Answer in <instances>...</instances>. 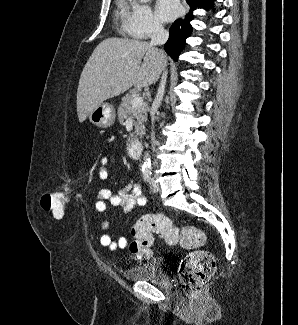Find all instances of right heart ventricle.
Returning a JSON list of instances; mask_svg holds the SVG:
<instances>
[{"instance_id":"right-heart-ventricle-1","label":"right heart ventricle","mask_w":298,"mask_h":325,"mask_svg":"<svg viewBox=\"0 0 298 325\" xmlns=\"http://www.w3.org/2000/svg\"><path fill=\"white\" fill-rule=\"evenodd\" d=\"M116 21L117 26L119 29V36L118 37H127L123 31L127 26H129L131 22V10L129 3L127 1H119L117 4V11H116Z\"/></svg>"}]
</instances>
